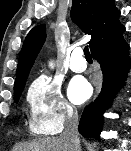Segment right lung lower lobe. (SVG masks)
Instances as JSON below:
<instances>
[{
    "label": "right lung lower lobe",
    "instance_id": "right-lung-lower-lobe-1",
    "mask_svg": "<svg viewBox=\"0 0 131 151\" xmlns=\"http://www.w3.org/2000/svg\"><path fill=\"white\" fill-rule=\"evenodd\" d=\"M122 30L116 36L97 46L92 52L103 73V84L97 99L85 107L78 126L85 138L100 139L103 113L110 106L114 91L124 84L131 66L129 46L123 40Z\"/></svg>",
    "mask_w": 131,
    "mask_h": 151
}]
</instances>
